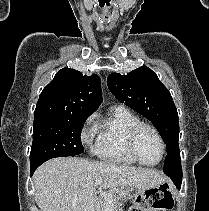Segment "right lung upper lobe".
Returning a JSON list of instances; mask_svg holds the SVG:
<instances>
[{
	"label": "right lung upper lobe",
	"mask_w": 209,
	"mask_h": 211,
	"mask_svg": "<svg viewBox=\"0 0 209 211\" xmlns=\"http://www.w3.org/2000/svg\"><path fill=\"white\" fill-rule=\"evenodd\" d=\"M101 102L98 75L83 76L75 69L63 68L40 94L34 118L91 115Z\"/></svg>",
	"instance_id": "right-lung-upper-lobe-1"
}]
</instances>
